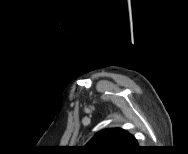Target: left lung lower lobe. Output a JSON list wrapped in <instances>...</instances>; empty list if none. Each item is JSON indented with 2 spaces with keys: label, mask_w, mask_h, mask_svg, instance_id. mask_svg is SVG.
<instances>
[{
  "label": "left lung lower lobe",
  "mask_w": 188,
  "mask_h": 154,
  "mask_svg": "<svg viewBox=\"0 0 188 154\" xmlns=\"http://www.w3.org/2000/svg\"><path fill=\"white\" fill-rule=\"evenodd\" d=\"M136 145H137V141L135 140L132 146H136Z\"/></svg>",
  "instance_id": "1"
}]
</instances>
